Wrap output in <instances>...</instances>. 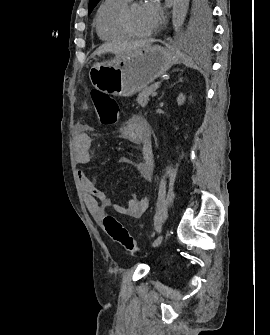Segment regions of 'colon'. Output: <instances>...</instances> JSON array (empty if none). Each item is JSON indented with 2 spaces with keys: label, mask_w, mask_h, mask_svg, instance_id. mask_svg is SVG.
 <instances>
[{
  "label": "colon",
  "mask_w": 270,
  "mask_h": 335,
  "mask_svg": "<svg viewBox=\"0 0 270 335\" xmlns=\"http://www.w3.org/2000/svg\"><path fill=\"white\" fill-rule=\"evenodd\" d=\"M90 98L94 105L95 113L104 126H110L117 122L119 109L113 97L101 90L91 89ZM104 228L111 240L119 244L126 252L131 254L139 252L138 245L117 216L106 215L104 217Z\"/></svg>",
  "instance_id": "colon-1"
}]
</instances>
